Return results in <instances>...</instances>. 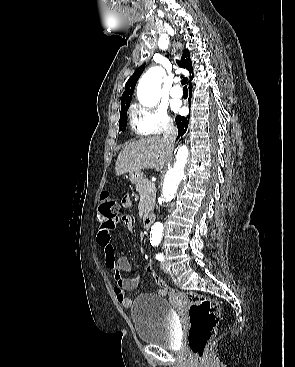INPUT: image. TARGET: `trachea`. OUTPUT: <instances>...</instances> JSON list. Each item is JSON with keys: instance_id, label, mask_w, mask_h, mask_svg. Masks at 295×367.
<instances>
[{"instance_id": "trachea-1", "label": "trachea", "mask_w": 295, "mask_h": 367, "mask_svg": "<svg viewBox=\"0 0 295 367\" xmlns=\"http://www.w3.org/2000/svg\"><path fill=\"white\" fill-rule=\"evenodd\" d=\"M183 83L185 84V82H184V81H183ZM183 91H188V88H187V86H186V85L183 87Z\"/></svg>"}]
</instances>
